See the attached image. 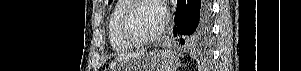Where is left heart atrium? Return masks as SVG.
Here are the masks:
<instances>
[{
    "mask_svg": "<svg viewBox=\"0 0 301 71\" xmlns=\"http://www.w3.org/2000/svg\"><path fill=\"white\" fill-rule=\"evenodd\" d=\"M159 7V10H160V13H161V16H162V19H163V22L165 21L166 19V9L163 7V6H158Z\"/></svg>",
    "mask_w": 301,
    "mask_h": 71,
    "instance_id": "1",
    "label": "left heart atrium"
}]
</instances>
